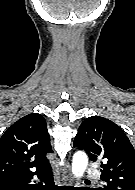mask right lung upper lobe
Masks as SVG:
<instances>
[{
	"label": "right lung upper lobe",
	"mask_w": 135,
	"mask_h": 190,
	"mask_svg": "<svg viewBox=\"0 0 135 190\" xmlns=\"http://www.w3.org/2000/svg\"><path fill=\"white\" fill-rule=\"evenodd\" d=\"M47 153H52V147L43 116L31 113L22 117L0 139V178L47 171L51 168Z\"/></svg>",
	"instance_id": "1"
}]
</instances>
